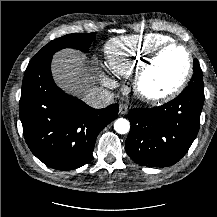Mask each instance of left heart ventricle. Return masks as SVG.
Masks as SVG:
<instances>
[{
	"instance_id": "b2bd125f",
	"label": "left heart ventricle",
	"mask_w": 217,
	"mask_h": 217,
	"mask_svg": "<svg viewBox=\"0 0 217 217\" xmlns=\"http://www.w3.org/2000/svg\"><path fill=\"white\" fill-rule=\"evenodd\" d=\"M187 66L188 60L183 50L172 48L165 51L148 72L143 89L149 94L170 91L180 82Z\"/></svg>"
}]
</instances>
